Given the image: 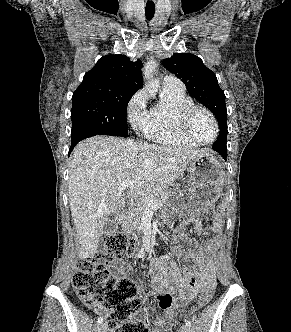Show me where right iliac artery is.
<instances>
[{
    "mask_svg": "<svg viewBox=\"0 0 291 332\" xmlns=\"http://www.w3.org/2000/svg\"><path fill=\"white\" fill-rule=\"evenodd\" d=\"M103 322V317H99L98 319H97V324L99 325V324H101Z\"/></svg>",
    "mask_w": 291,
    "mask_h": 332,
    "instance_id": "1",
    "label": "right iliac artery"
}]
</instances>
